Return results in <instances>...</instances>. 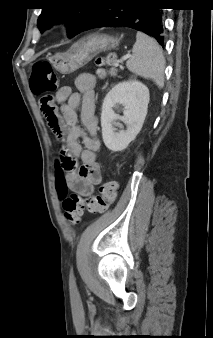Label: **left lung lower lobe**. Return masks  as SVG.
I'll return each mask as SVG.
<instances>
[{"label": "left lung lower lobe", "mask_w": 213, "mask_h": 338, "mask_svg": "<svg viewBox=\"0 0 213 338\" xmlns=\"http://www.w3.org/2000/svg\"><path fill=\"white\" fill-rule=\"evenodd\" d=\"M154 0H105L81 31L124 26L142 31L164 45L163 14Z\"/></svg>", "instance_id": "left-lung-lower-lobe-1"}]
</instances>
